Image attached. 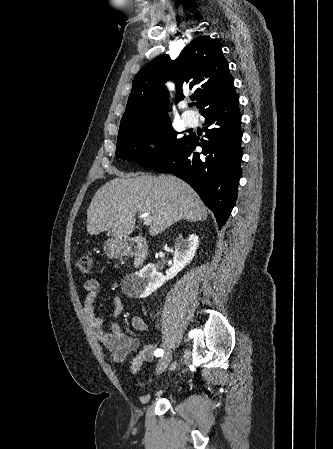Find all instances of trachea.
I'll return each mask as SVG.
<instances>
[{"instance_id":"1","label":"trachea","mask_w":333,"mask_h":449,"mask_svg":"<svg viewBox=\"0 0 333 449\" xmlns=\"http://www.w3.org/2000/svg\"><path fill=\"white\" fill-rule=\"evenodd\" d=\"M194 99H192V101H193ZM196 103L195 102H193V103H191V104H189V106L190 107H192L193 105H195Z\"/></svg>"}]
</instances>
